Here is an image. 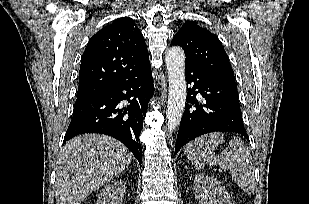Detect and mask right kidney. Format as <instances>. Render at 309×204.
Instances as JSON below:
<instances>
[{
	"label": "right kidney",
	"mask_w": 309,
	"mask_h": 204,
	"mask_svg": "<svg viewBox=\"0 0 309 204\" xmlns=\"http://www.w3.org/2000/svg\"><path fill=\"white\" fill-rule=\"evenodd\" d=\"M125 191L126 183L124 181L108 184L100 191L95 204H122Z\"/></svg>",
	"instance_id": "obj_1"
}]
</instances>
